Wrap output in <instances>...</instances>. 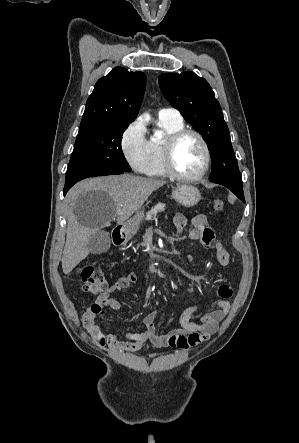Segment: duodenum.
I'll list each match as a JSON object with an SVG mask.
<instances>
[{"label":"duodenum","mask_w":299,"mask_h":443,"mask_svg":"<svg viewBox=\"0 0 299 443\" xmlns=\"http://www.w3.org/2000/svg\"><path fill=\"white\" fill-rule=\"evenodd\" d=\"M112 239H113V243L116 246H120V245L124 244V242L126 241L125 226L124 225H119L113 229ZM157 261H159L158 257H152V258H149L146 260V264H148V265L154 264Z\"/></svg>","instance_id":"duodenum-1"}]
</instances>
